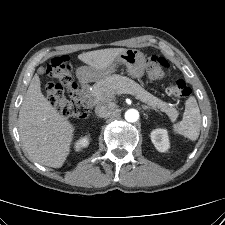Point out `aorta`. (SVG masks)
<instances>
[{
  "mask_svg": "<svg viewBox=\"0 0 225 225\" xmlns=\"http://www.w3.org/2000/svg\"><path fill=\"white\" fill-rule=\"evenodd\" d=\"M125 119L130 123L136 122L139 119V112L136 109H128L125 112Z\"/></svg>",
  "mask_w": 225,
  "mask_h": 225,
  "instance_id": "obj_1",
  "label": "aorta"
}]
</instances>
